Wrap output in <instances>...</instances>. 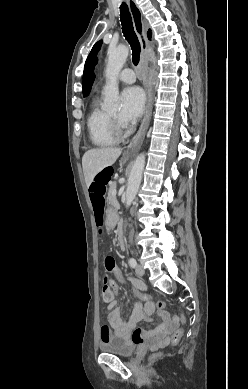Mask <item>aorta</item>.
I'll list each match as a JSON object with an SVG mask.
<instances>
[{
	"label": "aorta",
	"mask_w": 248,
	"mask_h": 389,
	"mask_svg": "<svg viewBox=\"0 0 248 389\" xmlns=\"http://www.w3.org/2000/svg\"><path fill=\"white\" fill-rule=\"evenodd\" d=\"M129 54V49L125 45L115 48H109L108 61L105 69L106 86L104 88V104L106 110L117 111L120 109L118 75L123 68ZM145 167V155L139 154L132 166V170L127 182L126 189V207L133 202L142 179V173Z\"/></svg>",
	"instance_id": "762f6f07"
}]
</instances>
